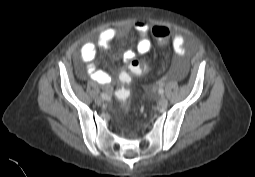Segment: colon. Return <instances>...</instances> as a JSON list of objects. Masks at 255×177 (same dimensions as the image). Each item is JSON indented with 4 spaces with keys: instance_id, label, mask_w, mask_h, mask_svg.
Segmentation results:
<instances>
[{
    "instance_id": "1",
    "label": "colon",
    "mask_w": 255,
    "mask_h": 177,
    "mask_svg": "<svg viewBox=\"0 0 255 177\" xmlns=\"http://www.w3.org/2000/svg\"><path fill=\"white\" fill-rule=\"evenodd\" d=\"M152 34L157 40L164 41L170 36V30L165 26H155L152 29ZM147 70L148 63L146 61H132L119 76L122 87L116 92L117 99L122 102H127L130 97V90L128 85L131 82L132 75H139L146 72Z\"/></svg>"
}]
</instances>
